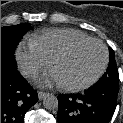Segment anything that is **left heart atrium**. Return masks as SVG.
Here are the masks:
<instances>
[{
	"instance_id": "left-heart-atrium-1",
	"label": "left heart atrium",
	"mask_w": 123,
	"mask_h": 123,
	"mask_svg": "<svg viewBox=\"0 0 123 123\" xmlns=\"http://www.w3.org/2000/svg\"><path fill=\"white\" fill-rule=\"evenodd\" d=\"M38 83L40 85H43V86H51V85H61V81L58 77V75L56 74L55 71H51L48 75L42 77Z\"/></svg>"
}]
</instances>
